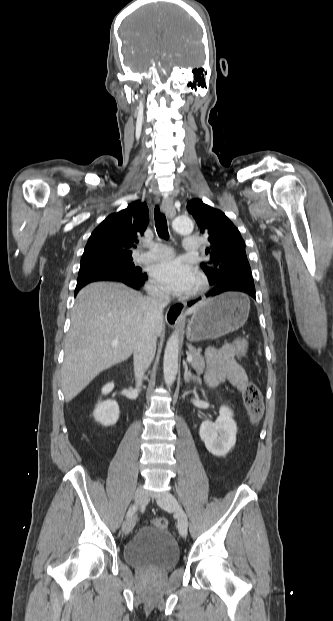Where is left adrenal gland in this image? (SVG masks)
I'll return each instance as SVG.
<instances>
[{
	"label": "left adrenal gland",
	"mask_w": 333,
	"mask_h": 621,
	"mask_svg": "<svg viewBox=\"0 0 333 621\" xmlns=\"http://www.w3.org/2000/svg\"><path fill=\"white\" fill-rule=\"evenodd\" d=\"M184 380L185 382H189L190 380L193 381H199L200 377L196 376L194 374L191 373V371L188 369V365L186 362H184Z\"/></svg>",
	"instance_id": "a2214340"
}]
</instances>
